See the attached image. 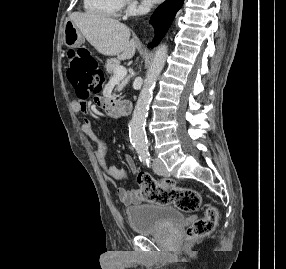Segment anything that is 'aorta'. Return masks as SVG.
<instances>
[{
	"label": "aorta",
	"mask_w": 286,
	"mask_h": 269,
	"mask_svg": "<svg viewBox=\"0 0 286 269\" xmlns=\"http://www.w3.org/2000/svg\"><path fill=\"white\" fill-rule=\"evenodd\" d=\"M167 57V46L161 44L157 47L151 66L146 74L143 88L138 97L132 119L129 123L130 141L141 157L148 156L145 123L148 108L153 95L156 80L161 73Z\"/></svg>",
	"instance_id": "obj_1"
}]
</instances>
